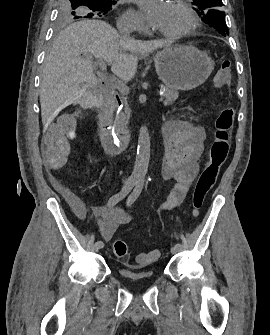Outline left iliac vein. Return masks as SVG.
<instances>
[{"instance_id":"4c4485c4","label":"left iliac vein","mask_w":270,"mask_h":335,"mask_svg":"<svg viewBox=\"0 0 270 335\" xmlns=\"http://www.w3.org/2000/svg\"><path fill=\"white\" fill-rule=\"evenodd\" d=\"M178 249L175 247V246H173V247H171L170 248V252L172 253V254H176V253H178Z\"/></svg>"}]
</instances>
